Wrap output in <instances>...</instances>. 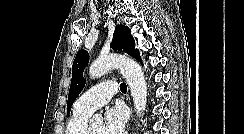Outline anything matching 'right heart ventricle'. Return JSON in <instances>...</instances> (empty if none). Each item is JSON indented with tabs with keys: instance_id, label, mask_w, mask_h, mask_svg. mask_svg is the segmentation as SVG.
I'll use <instances>...</instances> for the list:
<instances>
[{
	"instance_id": "right-heart-ventricle-1",
	"label": "right heart ventricle",
	"mask_w": 244,
	"mask_h": 134,
	"mask_svg": "<svg viewBox=\"0 0 244 134\" xmlns=\"http://www.w3.org/2000/svg\"><path fill=\"white\" fill-rule=\"evenodd\" d=\"M90 114L74 109L66 124L65 134H86Z\"/></svg>"
}]
</instances>
